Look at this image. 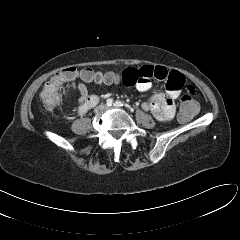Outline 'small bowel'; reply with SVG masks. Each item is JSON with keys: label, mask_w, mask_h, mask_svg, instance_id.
<instances>
[{"label": "small bowel", "mask_w": 240, "mask_h": 240, "mask_svg": "<svg viewBox=\"0 0 240 240\" xmlns=\"http://www.w3.org/2000/svg\"><path fill=\"white\" fill-rule=\"evenodd\" d=\"M165 81L166 92L154 93L147 101L142 103V109L150 111L157 120L170 121L176 112L174 101L180 96L183 89L190 94L195 93L192 85H187L183 74L178 71L168 70L163 66L145 65L139 68H127L119 76L112 72L95 74L92 78H83L85 82H95L100 85L111 86L122 82L126 86H135L139 91H148L151 80ZM72 88L79 93L78 103L83 105L90 97L87 86L84 83L71 82Z\"/></svg>", "instance_id": "small-bowel-1"}]
</instances>
